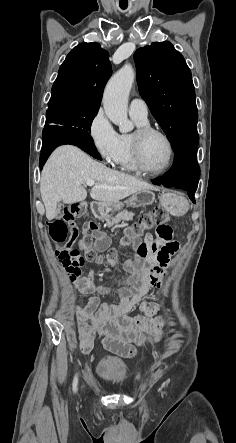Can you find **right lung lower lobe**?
I'll return each mask as SVG.
<instances>
[{
  "instance_id": "obj_1",
  "label": "right lung lower lobe",
  "mask_w": 236,
  "mask_h": 443,
  "mask_svg": "<svg viewBox=\"0 0 236 443\" xmlns=\"http://www.w3.org/2000/svg\"><path fill=\"white\" fill-rule=\"evenodd\" d=\"M72 144L76 145L96 159L102 160L100 154L97 152L92 139L74 134L68 131L67 127L50 126L43 130V142L40 156V168H43L46 160L51 152L59 145Z\"/></svg>"
}]
</instances>
